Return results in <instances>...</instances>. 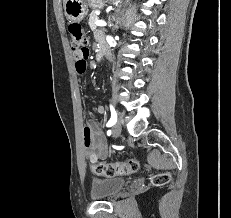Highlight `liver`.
<instances>
[{
  "label": "liver",
  "mask_w": 231,
  "mask_h": 218,
  "mask_svg": "<svg viewBox=\"0 0 231 218\" xmlns=\"http://www.w3.org/2000/svg\"><path fill=\"white\" fill-rule=\"evenodd\" d=\"M67 0H63V5H65V2H66Z\"/></svg>",
  "instance_id": "liver-1"
}]
</instances>
